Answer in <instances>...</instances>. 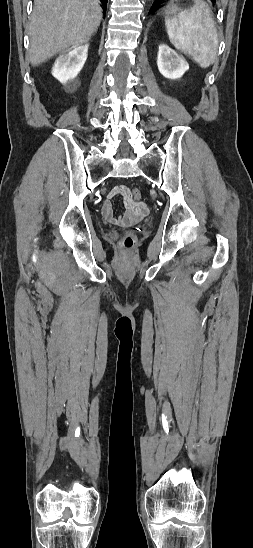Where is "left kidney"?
Masks as SVG:
<instances>
[{"instance_id": "1", "label": "left kidney", "mask_w": 253, "mask_h": 548, "mask_svg": "<svg viewBox=\"0 0 253 548\" xmlns=\"http://www.w3.org/2000/svg\"><path fill=\"white\" fill-rule=\"evenodd\" d=\"M157 66L168 79H178L189 69L187 61L166 44L159 45Z\"/></svg>"}]
</instances>
